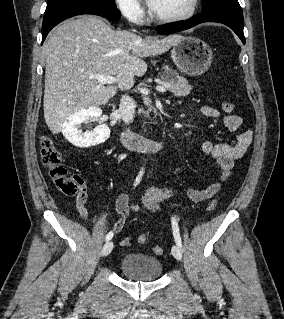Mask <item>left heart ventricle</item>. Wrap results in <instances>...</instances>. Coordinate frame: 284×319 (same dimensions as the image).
I'll use <instances>...</instances> for the list:
<instances>
[{
	"label": "left heart ventricle",
	"instance_id": "b2bd125f",
	"mask_svg": "<svg viewBox=\"0 0 284 319\" xmlns=\"http://www.w3.org/2000/svg\"><path fill=\"white\" fill-rule=\"evenodd\" d=\"M192 0H157L153 10L161 16H176L185 13Z\"/></svg>",
	"mask_w": 284,
	"mask_h": 319
}]
</instances>
